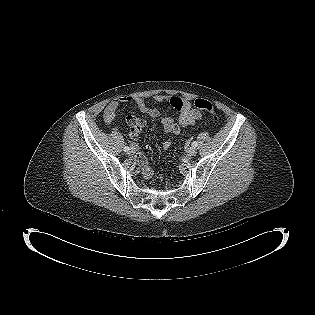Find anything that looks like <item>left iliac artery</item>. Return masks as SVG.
I'll use <instances>...</instances> for the list:
<instances>
[{
    "label": "left iliac artery",
    "instance_id": "left-iliac-artery-1",
    "mask_svg": "<svg viewBox=\"0 0 315 315\" xmlns=\"http://www.w3.org/2000/svg\"><path fill=\"white\" fill-rule=\"evenodd\" d=\"M198 143L196 141L192 142V146L195 148L197 147Z\"/></svg>",
    "mask_w": 315,
    "mask_h": 315
}]
</instances>
